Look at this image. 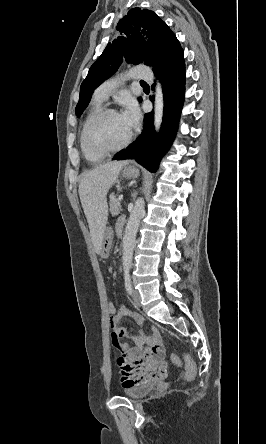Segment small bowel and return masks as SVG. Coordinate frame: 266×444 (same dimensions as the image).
<instances>
[{"label":"small bowel","mask_w":266,"mask_h":444,"mask_svg":"<svg viewBox=\"0 0 266 444\" xmlns=\"http://www.w3.org/2000/svg\"><path fill=\"white\" fill-rule=\"evenodd\" d=\"M116 232L122 233L121 224L117 225ZM131 317L138 325H143V319L138 314H132L122 306L110 320L112 328L111 342L119 352L117 363L121 372V384L124 388L142 384H155L165 380L168 375V364L163 360L164 347L160 332L153 329L151 332H141L132 336L119 323L124 317ZM130 339L132 346L121 341Z\"/></svg>","instance_id":"1"}]
</instances>
